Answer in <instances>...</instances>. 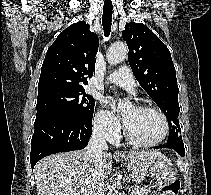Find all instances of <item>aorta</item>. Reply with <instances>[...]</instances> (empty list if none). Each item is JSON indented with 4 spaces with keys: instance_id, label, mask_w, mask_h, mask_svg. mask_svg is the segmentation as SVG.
Wrapping results in <instances>:
<instances>
[{
    "instance_id": "obj_1",
    "label": "aorta",
    "mask_w": 211,
    "mask_h": 195,
    "mask_svg": "<svg viewBox=\"0 0 211 195\" xmlns=\"http://www.w3.org/2000/svg\"><path fill=\"white\" fill-rule=\"evenodd\" d=\"M128 54V47L126 44L122 42H118L113 44L108 52H107V60L110 65H116L120 62H122ZM130 102L128 101H119L118 103V110H121L125 108L126 106H129ZM109 195H118V188L115 184H113L109 190Z\"/></svg>"
}]
</instances>
